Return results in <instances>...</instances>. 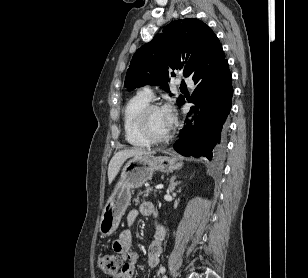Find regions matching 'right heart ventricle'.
<instances>
[{
  "label": "right heart ventricle",
  "instance_id": "1",
  "mask_svg": "<svg viewBox=\"0 0 308 278\" xmlns=\"http://www.w3.org/2000/svg\"><path fill=\"white\" fill-rule=\"evenodd\" d=\"M149 102L148 99L137 94L130 98L124 106L122 114L124 135L126 141L133 147L145 148L150 145L137 126V115Z\"/></svg>",
  "mask_w": 308,
  "mask_h": 278
}]
</instances>
